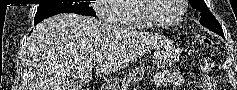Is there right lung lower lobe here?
I'll return each mask as SVG.
<instances>
[{"mask_svg":"<svg viewBox=\"0 0 237 90\" xmlns=\"http://www.w3.org/2000/svg\"><path fill=\"white\" fill-rule=\"evenodd\" d=\"M38 23H39V22H38ZM38 23H35V22H34V25H36V24H38Z\"/></svg>","mask_w":237,"mask_h":90,"instance_id":"98d812e1","label":"right lung lower lobe"}]
</instances>
